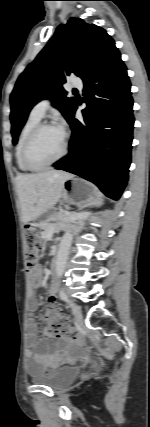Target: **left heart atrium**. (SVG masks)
Instances as JSON below:
<instances>
[{
  "mask_svg": "<svg viewBox=\"0 0 150 427\" xmlns=\"http://www.w3.org/2000/svg\"><path fill=\"white\" fill-rule=\"evenodd\" d=\"M60 129L65 133V126L64 125L60 126Z\"/></svg>",
  "mask_w": 150,
  "mask_h": 427,
  "instance_id": "1",
  "label": "left heart atrium"
}]
</instances>
